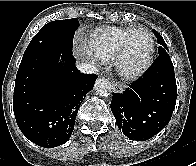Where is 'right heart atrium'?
Segmentation results:
<instances>
[{
	"instance_id": "d8ad5b80",
	"label": "right heart atrium",
	"mask_w": 196,
	"mask_h": 166,
	"mask_svg": "<svg viewBox=\"0 0 196 166\" xmlns=\"http://www.w3.org/2000/svg\"><path fill=\"white\" fill-rule=\"evenodd\" d=\"M78 50H79V52L83 55V56H85V57H87V58H90V59H96L92 54H91V52H90V50L89 49H87V48H85V47H82V46H78Z\"/></svg>"
}]
</instances>
